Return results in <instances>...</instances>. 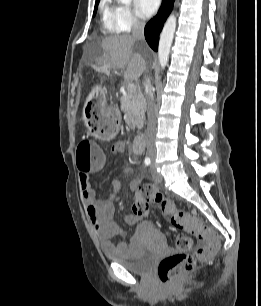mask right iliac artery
Returning a JSON list of instances; mask_svg holds the SVG:
<instances>
[{
	"instance_id": "right-iliac-artery-1",
	"label": "right iliac artery",
	"mask_w": 261,
	"mask_h": 306,
	"mask_svg": "<svg viewBox=\"0 0 261 306\" xmlns=\"http://www.w3.org/2000/svg\"><path fill=\"white\" fill-rule=\"evenodd\" d=\"M144 163H145V165H146V166H149V165H150V163H151L150 158H149V157L145 158Z\"/></svg>"
}]
</instances>
